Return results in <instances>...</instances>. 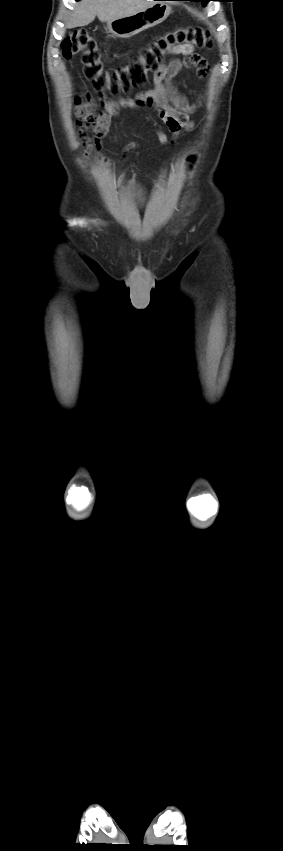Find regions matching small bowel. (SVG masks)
I'll return each mask as SVG.
<instances>
[{
  "instance_id": "small-bowel-1",
  "label": "small bowel",
  "mask_w": 283,
  "mask_h": 851,
  "mask_svg": "<svg viewBox=\"0 0 283 851\" xmlns=\"http://www.w3.org/2000/svg\"><path fill=\"white\" fill-rule=\"evenodd\" d=\"M171 54L173 56L183 55L186 58L181 60L174 57L167 63H163L154 74V88L138 95L135 99L121 98L118 101H109L104 95H101L102 109L96 114L94 113L96 103L90 93L85 92L83 95L75 97V114L80 119L78 122L80 126L79 135L86 143L87 155L95 153L98 160L103 163L107 162V159L99 154L102 148V139L109 131L111 119L117 116L121 109H139L144 106L154 108L160 120L166 125L174 138L193 128L189 115L195 113L202 106V100L189 103L187 98L182 96L173 86L172 80L184 68L196 67L201 77L207 75L209 68L206 61L195 53L194 47L191 45L174 47ZM88 127L93 129V136L90 138L86 137L85 134ZM156 134L162 144L170 142L162 130L156 129ZM135 147V143L129 144L125 153L130 152Z\"/></svg>"
}]
</instances>
